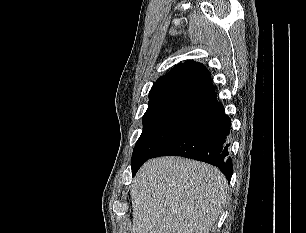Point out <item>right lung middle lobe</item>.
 Here are the masks:
<instances>
[{
    "label": "right lung middle lobe",
    "mask_w": 306,
    "mask_h": 233,
    "mask_svg": "<svg viewBox=\"0 0 306 233\" xmlns=\"http://www.w3.org/2000/svg\"><path fill=\"white\" fill-rule=\"evenodd\" d=\"M204 108L183 101L150 104L143 116V131L133 150L132 172L140 166Z\"/></svg>",
    "instance_id": "dd1d6c3e"
}]
</instances>
